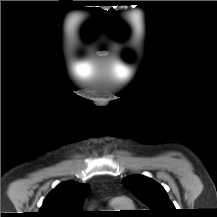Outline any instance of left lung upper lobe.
<instances>
[{"instance_id": "1", "label": "left lung upper lobe", "mask_w": 217, "mask_h": 217, "mask_svg": "<svg viewBox=\"0 0 217 217\" xmlns=\"http://www.w3.org/2000/svg\"><path fill=\"white\" fill-rule=\"evenodd\" d=\"M123 184L150 210V217H174L176 208L165 189L153 179L142 175H131L122 180Z\"/></svg>"}]
</instances>
